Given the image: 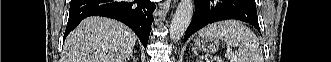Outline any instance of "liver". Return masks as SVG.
<instances>
[{
    "instance_id": "obj_1",
    "label": "liver",
    "mask_w": 331,
    "mask_h": 62,
    "mask_svg": "<svg viewBox=\"0 0 331 62\" xmlns=\"http://www.w3.org/2000/svg\"><path fill=\"white\" fill-rule=\"evenodd\" d=\"M136 40L134 32L121 22L89 17L66 38L63 62H125Z\"/></svg>"
}]
</instances>
